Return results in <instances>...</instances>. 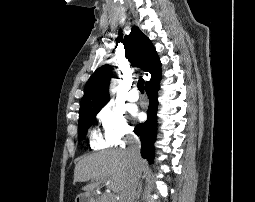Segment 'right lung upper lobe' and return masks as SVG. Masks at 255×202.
<instances>
[{
	"label": "right lung upper lobe",
	"mask_w": 255,
	"mask_h": 202,
	"mask_svg": "<svg viewBox=\"0 0 255 202\" xmlns=\"http://www.w3.org/2000/svg\"><path fill=\"white\" fill-rule=\"evenodd\" d=\"M126 58L151 74L146 85L158 83L161 79V64L151 41L138 27H133L124 42ZM112 74L110 65L98 68L89 78L84 89L79 112L101 109L109 101V82Z\"/></svg>",
	"instance_id": "obj_1"
}]
</instances>
